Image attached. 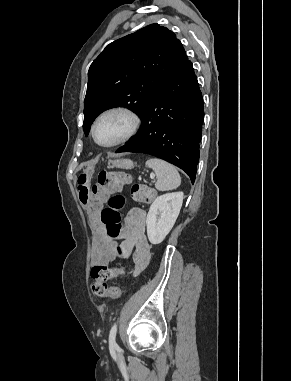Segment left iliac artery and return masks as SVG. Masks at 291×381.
Returning <instances> with one entry per match:
<instances>
[{
    "label": "left iliac artery",
    "instance_id": "44dca946",
    "mask_svg": "<svg viewBox=\"0 0 291 381\" xmlns=\"http://www.w3.org/2000/svg\"><path fill=\"white\" fill-rule=\"evenodd\" d=\"M116 332H117V323H115L110 330V334H109V347L110 348H116L117 347V343L115 341Z\"/></svg>",
    "mask_w": 291,
    "mask_h": 381
}]
</instances>
